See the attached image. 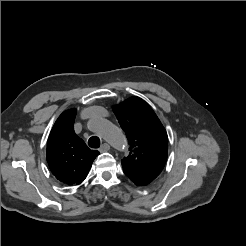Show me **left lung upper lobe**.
<instances>
[{
    "label": "left lung upper lobe",
    "mask_w": 246,
    "mask_h": 246,
    "mask_svg": "<svg viewBox=\"0 0 246 246\" xmlns=\"http://www.w3.org/2000/svg\"><path fill=\"white\" fill-rule=\"evenodd\" d=\"M113 111L129 144L130 153L121 161L124 173L152 182L166 163V130L152 108L139 97L125 100Z\"/></svg>",
    "instance_id": "left-lung-upper-lobe-1"
}]
</instances>
